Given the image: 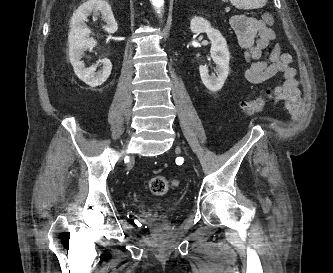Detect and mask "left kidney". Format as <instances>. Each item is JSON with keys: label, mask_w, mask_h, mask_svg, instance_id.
I'll return each mask as SVG.
<instances>
[{"label": "left kidney", "mask_w": 333, "mask_h": 273, "mask_svg": "<svg viewBox=\"0 0 333 273\" xmlns=\"http://www.w3.org/2000/svg\"><path fill=\"white\" fill-rule=\"evenodd\" d=\"M190 29L193 33H207L211 41V57L217 65L215 75H208L206 65H200L199 72L203 84L212 92L219 91L229 74L230 53L227 42L222 34L211 27L210 23L202 17H194L190 22Z\"/></svg>", "instance_id": "left-kidney-1"}]
</instances>
